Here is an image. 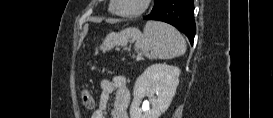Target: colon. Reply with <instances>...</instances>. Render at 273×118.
Wrapping results in <instances>:
<instances>
[{
	"mask_svg": "<svg viewBox=\"0 0 273 118\" xmlns=\"http://www.w3.org/2000/svg\"><path fill=\"white\" fill-rule=\"evenodd\" d=\"M81 99L86 108L88 109L92 108L93 100H92L91 94L88 91L86 90L82 91Z\"/></svg>",
	"mask_w": 273,
	"mask_h": 118,
	"instance_id": "5ec220e1",
	"label": "colon"
}]
</instances>
